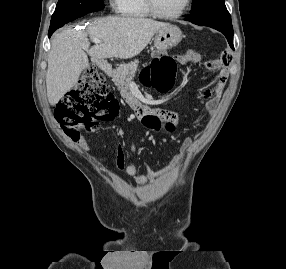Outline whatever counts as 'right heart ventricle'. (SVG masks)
<instances>
[{"label": "right heart ventricle", "instance_id": "right-heart-ventricle-1", "mask_svg": "<svg viewBox=\"0 0 286 269\" xmlns=\"http://www.w3.org/2000/svg\"><path fill=\"white\" fill-rule=\"evenodd\" d=\"M116 8L120 15L127 18L144 19L151 17L144 0H117Z\"/></svg>", "mask_w": 286, "mask_h": 269}]
</instances>
